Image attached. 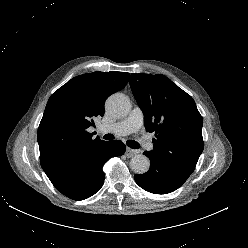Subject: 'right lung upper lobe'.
I'll list each match as a JSON object with an SVG mask.
<instances>
[{
	"label": "right lung upper lobe",
	"mask_w": 248,
	"mask_h": 248,
	"mask_svg": "<svg viewBox=\"0 0 248 248\" xmlns=\"http://www.w3.org/2000/svg\"><path fill=\"white\" fill-rule=\"evenodd\" d=\"M126 72H93L74 77L48 100L37 139L40 163L46 175L57 170L79 149L102 140L93 138L87 128L104 115V103L112 93L127 84Z\"/></svg>",
	"instance_id": "cb5924a9"
}]
</instances>
